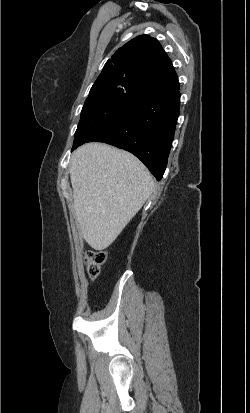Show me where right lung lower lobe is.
<instances>
[{
  "instance_id": "98d812e1",
  "label": "right lung lower lobe",
  "mask_w": 250,
  "mask_h": 413,
  "mask_svg": "<svg viewBox=\"0 0 250 413\" xmlns=\"http://www.w3.org/2000/svg\"><path fill=\"white\" fill-rule=\"evenodd\" d=\"M179 110V86L141 95L87 142H104L133 153L159 181L167 166Z\"/></svg>"
}]
</instances>
